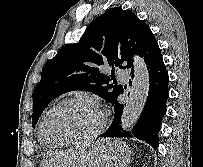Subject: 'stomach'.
I'll list each match as a JSON object with an SVG mask.
<instances>
[{"label":"stomach","instance_id":"obj_1","mask_svg":"<svg viewBox=\"0 0 203 167\" xmlns=\"http://www.w3.org/2000/svg\"><path fill=\"white\" fill-rule=\"evenodd\" d=\"M129 156V152H121L120 147H115L113 142H98L78 167H120L118 160H126Z\"/></svg>","mask_w":203,"mask_h":167}]
</instances>
